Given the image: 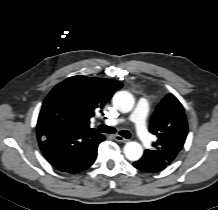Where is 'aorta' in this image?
Here are the masks:
<instances>
[{
  "mask_svg": "<svg viewBox=\"0 0 218 210\" xmlns=\"http://www.w3.org/2000/svg\"><path fill=\"white\" fill-rule=\"evenodd\" d=\"M114 106L122 113H128L133 109L134 98L126 91H120L114 95ZM124 154L130 161H137L143 155V148L138 142H128L124 146Z\"/></svg>",
  "mask_w": 218,
  "mask_h": 210,
  "instance_id": "aorta-1",
  "label": "aorta"
}]
</instances>
